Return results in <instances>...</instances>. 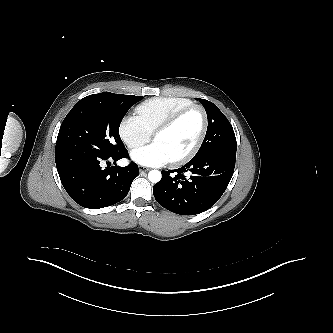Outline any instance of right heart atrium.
<instances>
[{"instance_id":"obj_1","label":"right heart atrium","mask_w":333,"mask_h":333,"mask_svg":"<svg viewBox=\"0 0 333 333\" xmlns=\"http://www.w3.org/2000/svg\"><path fill=\"white\" fill-rule=\"evenodd\" d=\"M118 131L120 138L129 149L145 144L152 135L137 115L124 116L119 123Z\"/></svg>"}]
</instances>
